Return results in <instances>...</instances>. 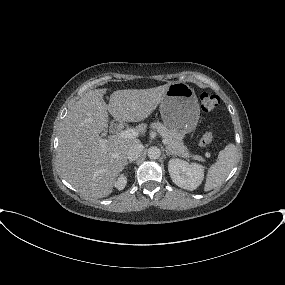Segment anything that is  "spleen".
<instances>
[{
  "label": "spleen",
  "mask_w": 285,
  "mask_h": 285,
  "mask_svg": "<svg viewBox=\"0 0 285 285\" xmlns=\"http://www.w3.org/2000/svg\"><path fill=\"white\" fill-rule=\"evenodd\" d=\"M237 160V151L233 143H229L218 154L217 161L208 170L205 191L218 187L229 175Z\"/></svg>",
  "instance_id": "1"
}]
</instances>
